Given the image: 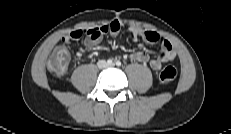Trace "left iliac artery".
<instances>
[{
  "mask_svg": "<svg viewBox=\"0 0 231 134\" xmlns=\"http://www.w3.org/2000/svg\"><path fill=\"white\" fill-rule=\"evenodd\" d=\"M116 65L117 66H121V62L120 61H116Z\"/></svg>",
  "mask_w": 231,
  "mask_h": 134,
  "instance_id": "obj_1",
  "label": "left iliac artery"
}]
</instances>
